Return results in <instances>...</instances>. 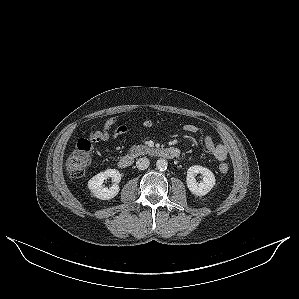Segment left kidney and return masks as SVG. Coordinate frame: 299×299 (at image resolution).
<instances>
[{"label": "left kidney", "instance_id": "left-kidney-1", "mask_svg": "<svg viewBox=\"0 0 299 299\" xmlns=\"http://www.w3.org/2000/svg\"><path fill=\"white\" fill-rule=\"evenodd\" d=\"M200 173L203 176V181L198 183L196 182L195 175ZM215 176L211 170L194 165L187 170V187L188 189L197 196L206 195L215 185Z\"/></svg>", "mask_w": 299, "mask_h": 299}]
</instances>
